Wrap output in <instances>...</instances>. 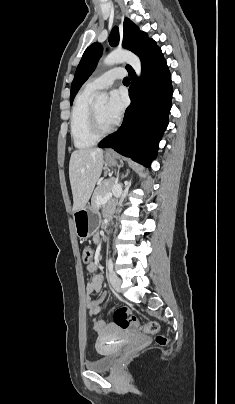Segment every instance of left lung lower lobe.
<instances>
[{
  "instance_id": "left-lung-lower-lobe-1",
  "label": "left lung lower lobe",
  "mask_w": 235,
  "mask_h": 404,
  "mask_svg": "<svg viewBox=\"0 0 235 404\" xmlns=\"http://www.w3.org/2000/svg\"><path fill=\"white\" fill-rule=\"evenodd\" d=\"M131 105L127 108L120 129L107 136L100 148L116 152L150 167L157 155L158 144L168 125L171 108V76L161 50L158 48L142 61L138 79L129 71Z\"/></svg>"
}]
</instances>
